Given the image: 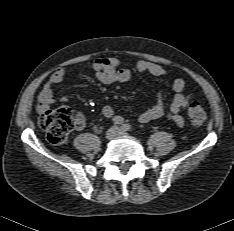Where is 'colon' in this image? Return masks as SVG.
Wrapping results in <instances>:
<instances>
[{
  "mask_svg": "<svg viewBox=\"0 0 234 231\" xmlns=\"http://www.w3.org/2000/svg\"><path fill=\"white\" fill-rule=\"evenodd\" d=\"M187 115L195 126L202 125L207 119L204 108L196 101L189 103ZM39 124L46 132L49 142L55 145L65 143L70 131L74 128L72 114L67 108L44 111L39 118Z\"/></svg>",
  "mask_w": 234,
  "mask_h": 231,
  "instance_id": "obj_1",
  "label": "colon"
}]
</instances>
